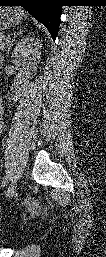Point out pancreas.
<instances>
[{
    "mask_svg": "<svg viewBox=\"0 0 106 257\" xmlns=\"http://www.w3.org/2000/svg\"><path fill=\"white\" fill-rule=\"evenodd\" d=\"M10 40H11L10 37H6V36L1 35V37H0V49L4 50L6 48H9L11 43H12Z\"/></svg>",
    "mask_w": 106,
    "mask_h": 257,
    "instance_id": "1",
    "label": "pancreas"
}]
</instances>
